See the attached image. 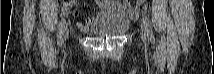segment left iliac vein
I'll use <instances>...</instances> for the list:
<instances>
[{
  "instance_id": "4c4485c4",
  "label": "left iliac vein",
  "mask_w": 214,
  "mask_h": 74,
  "mask_svg": "<svg viewBox=\"0 0 214 74\" xmlns=\"http://www.w3.org/2000/svg\"><path fill=\"white\" fill-rule=\"evenodd\" d=\"M147 35H148V29L145 23H143L141 26V37L144 42L146 41Z\"/></svg>"
}]
</instances>
